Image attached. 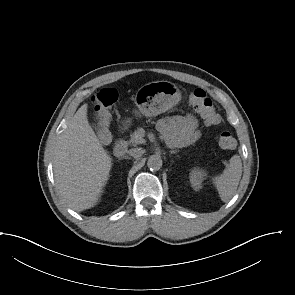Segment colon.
I'll list each match as a JSON object with an SVG mask.
<instances>
[{"mask_svg":"<svg viewBox=\"0 0 295 295\" xmlns=\"http://www.w3.org/2000/svg\"><path fill=\"white\" fill-rule=\"evenodd\" d=\"M117 100V92L113 88H104L94 98V107L98 124L99 137L102 142L107 140L106 124L110 115V108ZM189 101L192 107L200 113L208 125H218L221 122L220 115L216 111L211 98L202 89H196L189 93ZM219 146L224 150H232L236 147L233 135L223 131L218 139Z\"/></svg>","mask_w":295,"mask_h":295,"instance_id":"1","label":"colon"}]
</instances>
